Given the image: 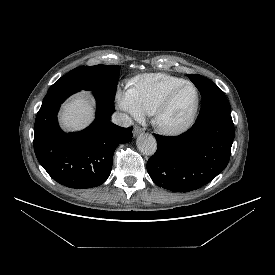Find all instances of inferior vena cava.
I'll list each match as a JSON object with an SVG mask.
<instances>
[{"label": "inferior vena cava", "instance_id": "obj_1", "mask_svg": "<svg viewBox=\"0 0 275 275\" xmlns=\"http://www.w3.org/2000/svg\"><path fill=\"white\" fill-rule=\"evenodd\" d=\"M112 122L122 127H129L132 125V119L125 113L116 112L112 115Z\"/></svg>", "mask_w": 275, "mask_h": 275}]
</instances>
